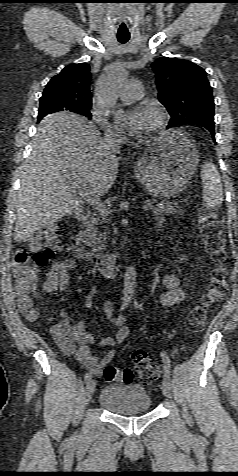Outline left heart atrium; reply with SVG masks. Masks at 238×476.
Returning a JSON list of instances; mask_svg holds the SVG:
<instances>
[{"instance_id":"obj_1","label":"left heart atrium","mask_w":238,"mask_h":476,"mask_svg":"<svg viewBox=\"0 0 238 476\" xmlns=\"http://www.w3.org/2000/svg\"><path fill=\"white\" fill-rule=\"evenodd\" d=\"M147 112L145 107L130 110L117 118V124L133 135L140 134L145 128Z\"/></svg>"}]
</instances>
